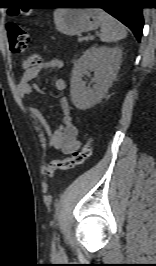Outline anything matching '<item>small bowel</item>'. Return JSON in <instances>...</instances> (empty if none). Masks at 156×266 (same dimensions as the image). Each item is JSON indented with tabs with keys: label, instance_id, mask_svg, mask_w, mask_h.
Wrapping results in <instances>:
<instances>
[{
	"label": "small bowel",
	"instance_id": "small-bowel-1",
	"mask_svg": "<svg viewBox=\"0 0 156 266\" xmlns=\"http://www.w3.org/2000/svg\"><path fill=\"white\" fill-rule=\"evenodd\" d=\"M61 67L62 61L59 58H50L36 67L25 70L18 84L19 94L25 97L31 95L34 90L40 91L39 87L32 83V80L37 77L40 71ZM54 86L61 91L65 88V81L62 78H56ZM59 106L62 123L54 131H51L48 122L38 107H29V112L42 126L49 147L60 150L64 154H72L79 149L80 142L77 137V129L72 123L71 109L66 97L59 98Z\"/></svg>",
	"mask_w": 156,
	"mask_h": 266
}]
</instances>
